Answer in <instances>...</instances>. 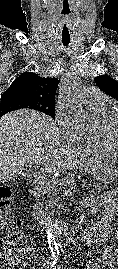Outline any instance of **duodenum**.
Masks as SVG:
<instances>
[{
    "label": "duodenum",
    "mask_w": 118,
    "mask_h": 269,
    "mask_svg": "<svg viewBox=\"0 0 118 269\" xmlns=\"http://www.w3.org/2000/svg\"><path fill=\"white\" fill-rule=\"evenodd\" d=\"M34 211L36 219L43 225L51 227L53 230L63 235H67L71 232L72 226L70 223L49 217L38 205L34 207Z\"/></svg>",
    "instance_id": "1"
}]
</instances>
